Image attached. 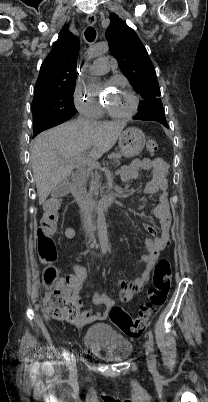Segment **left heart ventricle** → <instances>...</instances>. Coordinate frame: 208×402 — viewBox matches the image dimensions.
Segmentation results:
<instances>
[{"instance_id":"b2bd125f","label":"left heart ventricle","mask_w":208,"mask_h":402,"mask_svg":"<svg viewBox=\"0 0 208 402\" xmlns=\"http://www.w3.org/2000/svg\"><path fill=\"white\" fill-rule=\"evenodd\" d=\"M97 87H94V95L97 96ZM109 105L118 112H128L133 106V98L125 91L121 90L113 96L106 98Z\"/></svg>"}]
</instances>
